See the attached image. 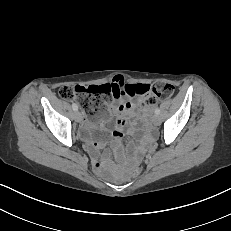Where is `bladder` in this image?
Here are the masks:
<instances>
[{
  "label": "bladder",
  "instance_id": "31cf9c89",
  "mask_svg": "<svg viewBox=\"0 0 231 231\" xmlns=\"http://www.w3.org/2000/svg\"><path fill=\"white\" fill-rule=\"evenodd\" d=\"M81 137H82L83 139H85V138H86V134L82 133V134H81Z\"/></svg>",
  "mask_w": 231,
  "mask_h": 231
}]
</instances>
